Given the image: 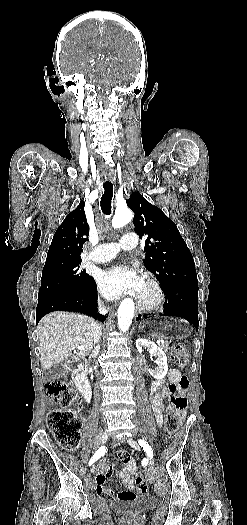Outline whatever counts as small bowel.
Here are the masks:
<instances>
[{
    "instance_id": "small-bowel-1",
    "label": "small bowel",
    "mask_w": 247,
    "mask_h": 525,
    "mask_svg": "<svg viewBox=\"0 0 247 525\" xmlns=\"http://www.w3.org/2000/svg\"><path fill=\"white\" fill-rule=\"evenodd\" d=\"M168 380L171 384H175L179 386L180 393H184L186 388H182L179 383L182 378L181 372L178 369H170L168 372ZM152 406L154 410V414L156 417V421L159 425L163 422V413H164V402H163V394L162 393H154L152 396ZM180 416H182V413H180ZM120 460L123 463V468L121 469L119 473V477L121 480L122 485L124 486L125 490L119 492L115 495V499L119 501H130L134 498V483L132 480V475L137 472L138 465L134 458L130 457L126 452L122 451L120 452ZM108 474L115 475L117 474V469L112 468L108 469ZM95 479L99 484L95 485L94 490L97 493H104L106 491V476L104 473L99 472L96 474ZM107 490H110V487H107ZM110 494H114V491H110Z\"/></svg>"
}]
</instances>
